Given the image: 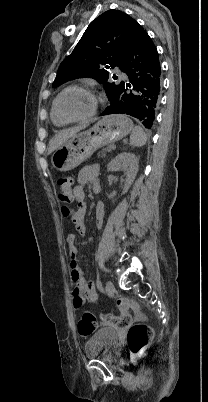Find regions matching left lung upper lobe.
I'll return each mask as SVG.
<instances>
[{
    "instance_id": "1",
    "label": "left lung upper lobe",
    "mask_w": 208,
    "mask_h": 402,
    "mask_svg": "<svg viewBox=\"0 0 208 402\" xmlns=\"http://www.w3.org/2000/svg\"><path fill=\"white\" fill-rule=\"evenodd\" d=\"M134 23L133 18L118 10H108L95 18L73 52L61 63L53 87L79 77H91L104 85L110 101L118 85L108 82L109 72L115 66L121 69Z\"/></svg>"
}]
</instances>
